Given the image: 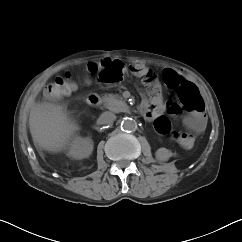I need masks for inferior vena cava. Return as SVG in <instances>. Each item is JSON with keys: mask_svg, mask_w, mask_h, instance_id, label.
<instances>
[{"mask_svg": "<svg viewBox=\"0 0 242 242\" xmlns=\"http://www.w3.org/2000/svg\"><path fill=\"white\" fill-rule=\"evenodd\" d=\"M116 119V115L112 112L106 111L101 114L99 120L102 124H110Z\"/></svg>", "mask_w": 242, "mask_h": 242, "instance_id": "inferior-vena-cava-1", "label": "inferior vena cava"}]
</instances>
